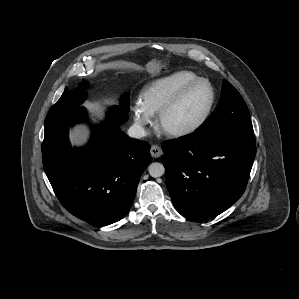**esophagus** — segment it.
<instances>
[{
  "mask_svg": "<svg viewBox=\"0 0 299 299\" xmlns=\"http://www.w3.org/2000/svg\"><path fill=\"white\" fill-rule=\"evenodd\" d=\"M152 157L158 158L162 155V149L159 145H152L150 149Z\"/></svg>",
  "mask_w": 299,
  "mask_h": 299,
  "instance_id": "1",
  "label": "esophagus"
}]
</instances>
